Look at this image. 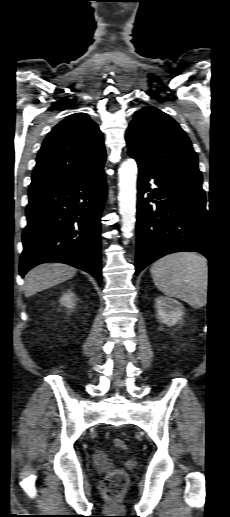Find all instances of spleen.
<instances>
[{"label": "spleen", "instance_id": "obj_1", "mask_svg": "<svg viewBox=\"0 0 230 517\" xmlns=\"http://www.w3.org/2000/svg\"><path fill=\"white\" fill-rule=\"evenodd\" d=\"M154 284L165 295L185 301L194 308L207 303L208 263L193 252L167 255L150 269Z\"/></svg>", "mask_w": 230, "mask_h": 517}]
</instances>
